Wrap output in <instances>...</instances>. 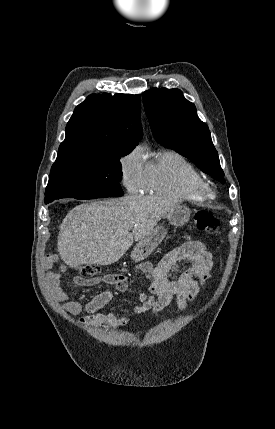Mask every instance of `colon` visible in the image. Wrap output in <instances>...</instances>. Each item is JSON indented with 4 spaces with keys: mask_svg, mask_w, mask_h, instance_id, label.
<instances>
[{
    "mask_svg": "<svg viewBox=\"0 0 275 429\" xmlns=\"http://www.w3.org/2000/svg\"><path fill=\"white\" fill-rule=\"evenodd\" d=\"M194 223L198 230L205 233H215L220 225L219 220L210 212L197 210L194 214ZM81 277L96 279L100 273L98 267L92 264H83L78 267Z\"/></svg>",
    "mask_w": 275,
    "mask_h": 429,
    "instance_id": "obj_1",
    "label": "colon"
}]
</instances>
